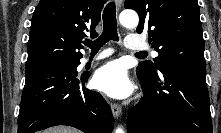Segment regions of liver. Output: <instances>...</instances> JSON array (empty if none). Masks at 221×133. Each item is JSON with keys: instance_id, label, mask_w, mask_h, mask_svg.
<instances>
[{"instance_id": "liver-1", "label": "liver", "mask_w": 221, "mask_h": 133, "mask_svg": "<svg viewBox=\"0 0 221 133\" xmlns=\"http://www.w3.org/2000/svg\"><path fill=\"white\" fill-rule=\"evenodd\" d=\"M44 133H79L78 130L72 129L65 126H57L50 129L45 130Z\"/></svg>"}]
</instances>
